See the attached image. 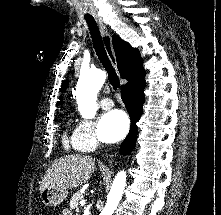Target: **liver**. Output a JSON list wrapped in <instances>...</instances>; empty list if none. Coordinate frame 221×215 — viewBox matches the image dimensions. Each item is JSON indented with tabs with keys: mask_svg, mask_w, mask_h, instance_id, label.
Listing matches in <instances>:
<instances>
[{
	"mask_svg": "<svg viewBox=\"0 0 221 215\" xmlns=\"http://www.w3.org/2000/svg\"><path fill=\"white\" fill-rule=\"evenodd\" d=\"M96 170L95 158L87 155H68L56 160L40 183V192L45 188L67 190L86 183Z\"/></svg>",
	"mask_w": 221,
	"mask_h": 215,
	"instance_id": "liver-1",
	"label": "liver"
}]
</instances>
